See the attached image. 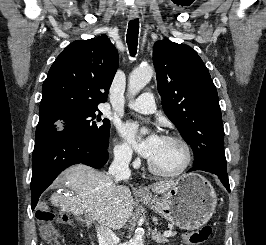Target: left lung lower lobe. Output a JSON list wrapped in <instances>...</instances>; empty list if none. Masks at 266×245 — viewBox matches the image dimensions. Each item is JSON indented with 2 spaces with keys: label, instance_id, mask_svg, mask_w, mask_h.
Instances as JSON below:
<instances>
[{
  "label": "left lung lower lobe",
  "instance_id": "left-lung-lower-lobe-1",
  "mask_svg": "<svg viewBox=\"0 0 266 245\" xmlns=\"http://www.w3.org/2000/svg\"><path fill=\"white\" fill-rule=\"evenodd\" d=\"M196 170H203V171H207V172H210V173L217 175L219 177V179L221 180L222 184L230 192V186H229V180H228L227 172L226 173L220 172L218 170H213V169L208 168V167H193V168L189 169L188 172L196 171Z\"/></svg>",
  "mask_w": 266,
  "mask_h": 245
}]
</instances>
